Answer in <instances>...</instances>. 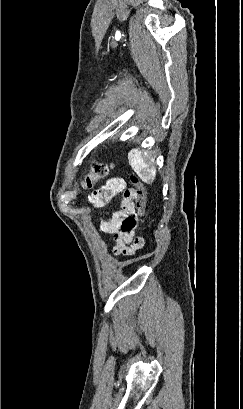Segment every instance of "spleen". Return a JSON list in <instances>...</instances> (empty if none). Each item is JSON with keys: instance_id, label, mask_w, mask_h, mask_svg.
I'll list each match as a JSON object with an SVG mask.
<instances>
[{"instance_id": "spleen-1", "label": "spleen", "mask_w": 243, "mask_h": 409, "mask_svg": "<svg viewBox=\"0 0 243 409\" xmlns=\"http://www.w3.org/2000/svg\"><path fill=\"white\" fill-rule=\"evenodd\" d=\"M128 159L132 169L143 182L151 184L154 181L156 176L154 159L148 160L144 158L141 151L136 149H133L128 153Z\"/></svg>"}]
</instances>
